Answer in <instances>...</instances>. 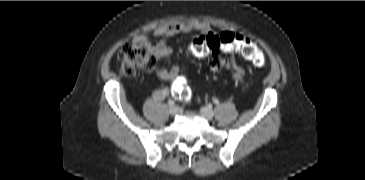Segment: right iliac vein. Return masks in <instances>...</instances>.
Wrapping results in <instances>:
<instances>
[{"label":"right iliac vein","instance_id":"1","mask_svg":"<svg viewBox=\"0 0 365 180\" xmlns=\"http://www.w3.org/2000/svg\"><path fill=\"white\" fill-rule=\"evenodd\" d=\"M179 112V108L177 106H172L169 108V114L171 116L176 115Z\"/></svg>","mask_w":365,"mask_h":180}]
</instances>
